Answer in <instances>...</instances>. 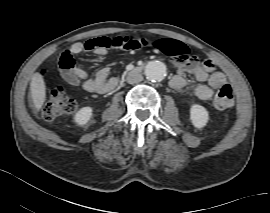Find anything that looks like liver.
I'll list each match as a JSON object with an SVG mask.
<instances>
[{"label":"liver","instance_id":"6515ba94","mask_svg":"<svg viewBox=\"0 0 270 213\" xmlns=\"http://www.w3.org/2000/svg\"><path fill=\"white\" fill-rule=\"evenodd\" d=\"M31 97L34 107L39 111L46 100V86L43 77L35 73L30 82Z\"/></svg>","mask_w":270,"mask_h":213}]
</instances>
